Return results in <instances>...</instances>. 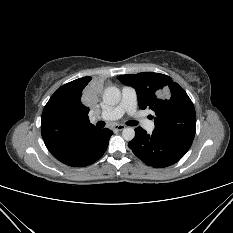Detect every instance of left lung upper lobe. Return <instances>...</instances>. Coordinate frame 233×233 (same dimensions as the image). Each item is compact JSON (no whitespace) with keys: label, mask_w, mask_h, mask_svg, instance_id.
Here are the masks:
<instances>
[{"label":"left lung upper lobe","mask_w":233,"mask_h":233,"mask_svg":"<svg viewBox=\"0 0 233 233\" xmlns=\"http://www.w3.org/2000/svg\"><path fill=\"white\" fill-rule=\"evenodd\" d=\"M118 79L136 89L141 109L155 112V130L162 137L193 141L196 114L187 93L164 74L143 72L121 75Z\"/></svg>","instance_id":"left-lung-upper-lobe-1"}]
</instances>
